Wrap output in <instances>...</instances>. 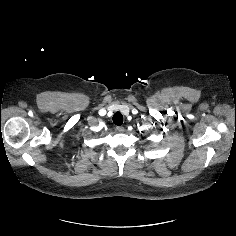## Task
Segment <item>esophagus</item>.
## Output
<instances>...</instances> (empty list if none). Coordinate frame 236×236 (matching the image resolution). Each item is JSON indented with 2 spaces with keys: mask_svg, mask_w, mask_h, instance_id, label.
Wrapping results in <instances>:
<instances>
[{
  "mask_svg": "<svg viewBox=\"0 0 236 236\" xmlns=\"http://www.w3.org/2000/svg\"><path fill=\"white\" fill-rule=\"evenodd\" d=\"M116 131H117L118 133H123V132L125 131V129H124V127H122V126H117V127H116Z\"/></svg>",
  "mask_w": 236,
  "mask_h": 236,
  "instance_id": "1",
  "label": "esophagus"
}]
</instances>
